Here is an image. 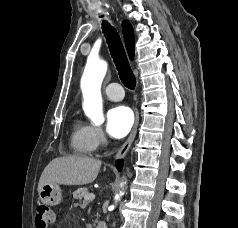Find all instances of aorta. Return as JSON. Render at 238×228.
<instances>
[{"label":"aorta","instance_id":"1","mask_svg":"<svg viewBox=\"0 0 238 228\" xmlns=\"http://www.w3.org/2000/svg\"><path fill=\"white\" fill-rule=\"evenodd\" d=\"M107 72V63L103 60H88L81 78L83 94V110L94 124H102L104 115L102 110L101 84ZM124 183H121V186ZM123 195L122 192L115 195L117 202ZM114 208V205L112 206Z\"/></svg>","mask_w":238,"mask_h":228}]
</instances>
